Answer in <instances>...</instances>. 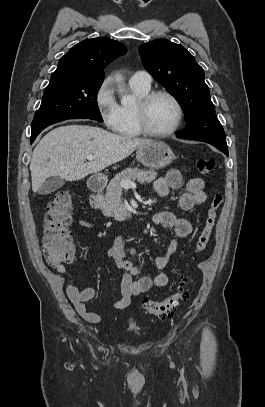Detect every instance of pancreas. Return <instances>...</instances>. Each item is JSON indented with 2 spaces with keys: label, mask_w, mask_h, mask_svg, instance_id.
Masks as SVG:
<instances>
[{
  "label": "pancreas",
  "mask_w": 265,
  "mask_h": 407,
  "mask_svg": "<svg viewBox=\"0 0 265 407\" xmlns=\"http://www.w3.org/2000/svg\"><path fill=\"white\" fill-rule=\"evenodd\" d=\"M156 178L157 172L155 171L127 168L110 181L106 194L98 197L97 207L102 210L105 216H112L117 220L123 219L127 215V209L122 203L123 187L120 185V182L123 180H137L142 184H146L151 183Z\"/></svg>",
  "instance_id": "cf45deb5"
}]
</instances>
